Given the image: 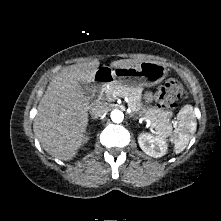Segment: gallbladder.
<instances>
[{
    "label": "gallbladder",
    "mask_w": 221,
    "mask_h": 221,
    "mask_svg": "<svg viewBox=\"0 0 221 221\" xmlns=\"http://www.w3.org/2000/svg\"><path fill=\"white\" fill-rule=\"evenodd\" d=\"M80 85H81L82 90L85 93V95L89 96L92 94L93 86L91 84L80 81Z\"/></svg>",
    "instance_id": "gallbladder-1"
}]
</instances>
